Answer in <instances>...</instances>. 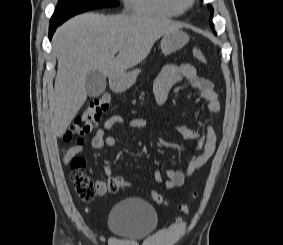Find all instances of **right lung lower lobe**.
<instances>
[{
    "label": "right lung lower lobe",
    "instance_id": "obj_1",
    "mask_svg": "<svg viewBox=\"0 0 283 245\" xmlns=\"http://www.w3.org/2000/svg\"><path fill=\"white\" fill-rule=\"evenodd\" d=\"M61 23H50L49 26V39L51 40L53 33L55 32L56 28L60 25Z\"/></svg>",
    "mask_w": 283,
    "mask_h": 245
}]
</instances>
